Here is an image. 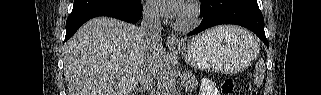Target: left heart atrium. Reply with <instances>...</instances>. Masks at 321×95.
Returning <instances> with one entry per match:
<instances>
[{
  "mask_svg": "<svg viewBox=\"0 0 321 95\" xmlns=\"http://www.w3.org/2000/svg\"><path fill=\"white\" fill-rule=\"evenodd\" d=\"M154 7L164 16H178L184 11L183 0H152Z\"/></svg>",
  "mask_w": 321,
  "mask_h": 95,
  "instance_id": "39dd6f15",
  "label": "left heart atrium"
}]
</instances>
